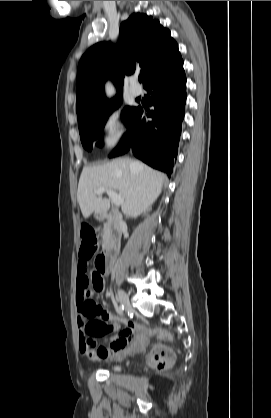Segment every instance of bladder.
Listing matches in <instances>:
<instances>
[{
    "mask_svg": "<svg viewBox=\"0 0 271 418\" xmlns=\"http://www.w3.org/2000/svg\"><path fill=\"white\" fill-rule=\"evenodd\" d=\"M112 369L116 371V370H118V369H119V367H118V365H113V366H112Z\"/></svg>",
    "mask_w": 271,
    "mask_h": 418,
    "instance_id": "obj_1",
    "label": "bladder"
}]
</instances>
